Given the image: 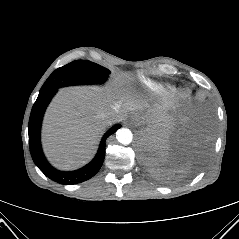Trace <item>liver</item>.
<instances>
[{
  "label": "liver",
  "instance_id": "1",
  "mask_svg": "<svg viewBox=\"0 0 239 239\" xmlns=\"http://www.w3.org/2000/svg\"><path fill=\"white\" fill-rule=\"evenodd\" d=\"M124 76L112 86H79L61 89L49 105L42 129L46 156L59 169L69 170L86 163L94 154L104 127L101 114L114 111L124 120L130 111L146 106L131 91L122 89ZM164 118V115L156 116Z\"/></svg>",
  "mask_w": 239,
  "mask_h": 239
}]
</instances>
